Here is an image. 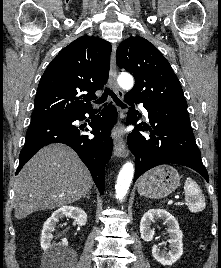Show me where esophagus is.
<instances>
[{"mask_svg":"<svg viewBox=\"0 0 221 268\" xmlns=\"http://www.w3.org/2000/svg\"><path fill=\"white\" fill-rule=\"evenodd\" d=\"M110 83L117 96L122 100L124 98V93L117 84L116 45H112L110 59ZM123 117L124 113L120 110V118L122 119ZM128 154L129 151L126 147L124 138L121 136L117 137L114 142V155L117 157H126Z\"/></svg>","mask_w":221,"mask_h":268,"instance_id":"esophagus-1","label":"esophagus"}]
</instances>
